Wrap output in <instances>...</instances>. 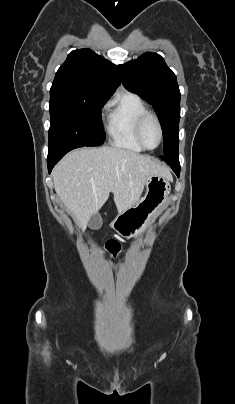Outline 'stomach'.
<instances>
[{
	"label": "stomach",
	"mask_w": 235,
	"mask_h": 404,
	"mask_svg": "<svg viewBox=\"0 0 235 404\" xmlns=\"http://www.w3.org/2000/svg\"><path fill=\"white\" fill-rule=\"evenodd\" d=\"M146 193L135 205L119 213L110 227L120 236H141L167 204L171 191L169 180L153 175L146 180Z\"/></svg>",
	"instance_id": "1"
}]
</instances>
